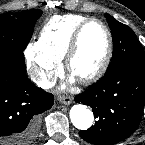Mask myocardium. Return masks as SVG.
Wrapping results in <instances>:
<instances>
[{
    "instance_id": "myocardium-1",
    "label": "myocardium",
    "mask_w": 145,
    "mask_h": 145,
    "mask_svg": "<svg viewBox=\"0 0 145 145\" xmlns=\"http://www.w3.org/2000/svg\"><path fill=\"white\" fill-rule=\"evenodd\" d=\"M91 23H97L103 28L105 35H106L107 47H106V51L103 56V59H102L101 63L99 64V66L91 73H89L85 76H82L80 78H77L79 80V82H81L83 84H91V83L99 80L107 71V69L110 65L112 56H113V38H112L110 29L102 20L97 19V18H88L85 21H83L76 28V30L71 38L68 49L64 56V68H65L66 72L71 74L72 62L79 51L82 33H83L84 29L87 27V25H89Z\"/></svg>"
}]
</instances>
